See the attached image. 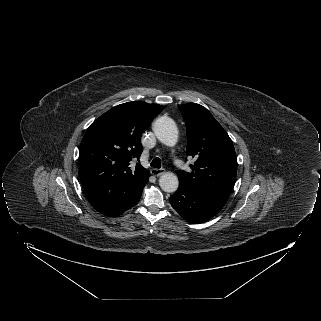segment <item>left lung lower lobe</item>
<instances>
[{"instance_id": "left-lung-lower-lobe-1", "label": "left lung lower lobe", "mask_w": 321, "mask_h": 321, "mask_svg": "<svg viewBox=\"0 0 321 321\" xmlns=\"http://www.w3.org/2000/svg\"><path fill=\"white\" fill-rule=\"evenodd\" d=\"M230 194L195 189L179 184L170 197L172 207L188 222L202 223L214 217L225 205Z\"/></svg>"}]
</instances>
